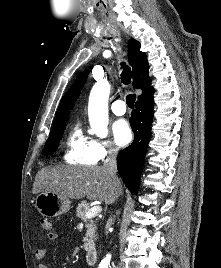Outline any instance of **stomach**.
<instances>
[{
    "instance_id": "0dacf381",
    "label": "stomach",
    "mask_w": 221,
    "mask_h": 268,
    "mask_svg": "<svg viewBox=\"0 0 221 268\" xmlns=\"http://www.w3.org/2000/svg\"><path fill=\"white\" fill-rule=\"evenodd\" d=\"M70 200L52 192H40L35 199V207L45 217H57L70 209Z\"/></svg>"
}]
</instances>
